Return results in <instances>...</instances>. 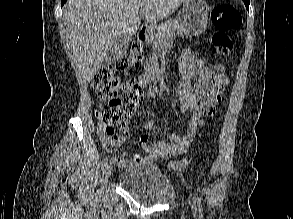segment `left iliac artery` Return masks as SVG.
Masks as SVG:
<instances>
[{"instance_id":"44dca946","label":"left iliac artery","mask_w":293,"mask_h":219,"mask_svg":"<svg viewBox=\"0 0 293 219\" xmlns=\"http://www.w3.org/2000/svg\"><path fill=\"white\" fill-rule=\"evenodd\" d=\"M194 201L197 202V207H198V210H199V217L200 219H204V216H203V208H202V204H201V200L198 196H194Z\"/></svg>"}]
</instances>
